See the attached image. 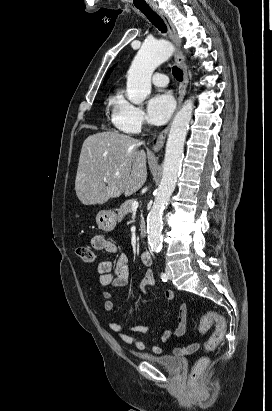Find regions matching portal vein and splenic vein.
<instances>
[{"mask_svg":"<svg viewBox=\"0 0 272 411\" xmlns=\"http://www.w3.org/2000/svg\"><path fill=\"white\" fill-rule=\"evenodd\" d=\"M104 181L106 182L107 179L105 178ZM138 206H139V203H138V201L135 200V201L132 202L131 208H132V210H137Z\"/></svg>","mask_w":272,"mask_h":411,"instance_id":"18ae733b","label":"portal vein and splenic vein"}]
</instances>
